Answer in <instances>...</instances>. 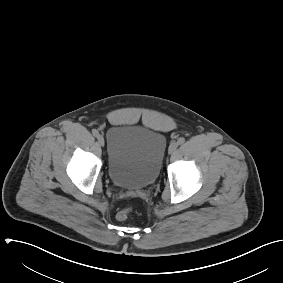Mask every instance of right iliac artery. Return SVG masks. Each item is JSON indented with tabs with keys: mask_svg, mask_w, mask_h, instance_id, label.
Instances as JSON below:
<instances>
[{
	"mask_svg": "<svg viewBox=\"0 0 283 283\" xmlns=\"http://www.w3.org/2000/svg\"><path fill=\"white\" fill-rule=\"evenodd\" d=\"M92 133L95 137H98L99 136V132L97 130H92Z\"/></svg>",
	"mask_w": 283,
	"mask_h": 283,
	"instance_id": "obj_1",
	"label": "right iliac artery"
}]
</instances>
